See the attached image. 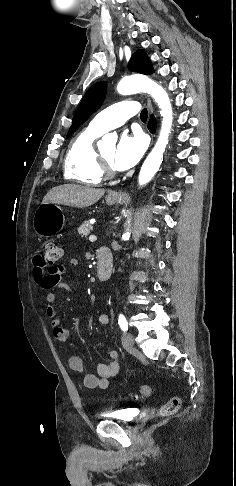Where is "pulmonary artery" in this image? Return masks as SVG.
Instances as JSON below:
<instances>
[{
    "instance_id": "1",
    "label": "pulmonary artery",
    "mask_w": 236,
    "mask_h": 486,
    "mask_svg": "<svg viewBox=\"0 0 236 486\" xmlns=\"http://www.w3.org/2000/svg\"><path fill=\"white\" fill-rule=\"evenodd\" d=\"M136 101H122L98 113L89 123V128L99 134L123 125L139 112Z\"/></svg>"
}]
</instances>
